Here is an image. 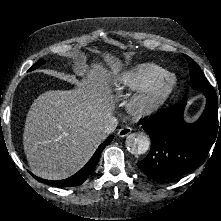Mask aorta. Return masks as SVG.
<instances>
[{
  "mask_svg": "<svg viewBox=\"0 0 221 221\" xmlns=\"http://www.w3.org/2000/svg\"><path fill=\"white\" fill-rule=\"evenodd\" d=\"M126 147L133 154H144L150 147V138L144 132L129 134L126 138Z\"/></svg>",
  "mask_w": 221,
  "mask_h": 221,
  "instance_id": "762f6f07",
  "label": "aorta"
}]
</instances>
